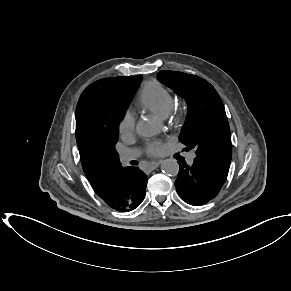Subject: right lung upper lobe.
<instances>
[{
  "instance_id": "cb5924a9",
  "label": "right lung upper lobe",
  "mask_w": 291,
  "mask_h": 291,
  "mask_svg": "<svg viewBox=\"0 0 291 291\" xmlns=\"http://www.w3.org/2000/svg\"><path fill=\"white\" fill-rule=\"evenodd\" d=\"M127 78H107L92 83L82 92L76 108V141L82 167L92 188L104 201H107L116 189L117 180L114 175L121 165L118 154L105 149L100 143L92 90L100 81L111 82L116 87L123 86Z\"/></svg>"
}]
</instances>
